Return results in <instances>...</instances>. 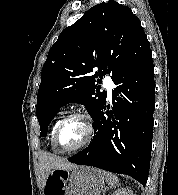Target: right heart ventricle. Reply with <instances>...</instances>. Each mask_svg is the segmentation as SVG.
<instances>
[{"mask_svg": "<svg viewBox=\"0 0 178 195\" xmlns=\"http://www.w3.org/2000/svg\"><path fill=\"white\" fill-rule=\"evenodd\" d=\"M59 121H60L59 118L56 119V120L54 121V123H53V125H52V127H51V132H50V143H51L52 149H53L54 151H57V150L53 147V144H52V137H53L54 130H55L57 124L59 123Z\"/></svg>", "mask_w": 178, "mask_h": 195, "instance_id": "1", "label": "right heart ventricle"}]
</instances>
